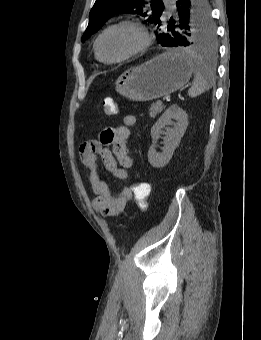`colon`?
I'll list each match as a JSON object with an SVG mask.
<instances>
[{
  "instance_id": "obj_1",
  "label": "colon",
  "mask_w": 261,
  "mask_h": 340,
  "mask_svg": "<svg viewBox=\"0 0 261 340\" xmlns=\"http://www.w3.org/2000/svg\"><path fill=\"white\" fill-rule=\"evenodd\" d=\"M103 111L107 116L117 113L118 106L112 98H107L103 102ZM150 194V187L146 183H136L132 186V195L141 210L148 208V198Z\"/></svg>"
}]
</instances>
